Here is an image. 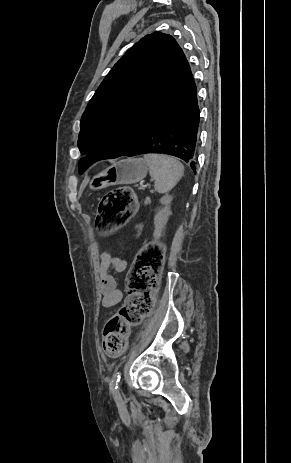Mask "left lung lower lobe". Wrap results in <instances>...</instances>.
<instances>
[{
  "instance_id": "obj_1",
  "label": "left lung lower lobe",
  "mask_w": 291,
  "mask_h": 463,
  "mask_svg": "<svg viewBox=\"0 0 291 463\" xmlns=\"http://www.w3.org/2000/svg\"><path fill=\"white\" fill-rule=\"evenodd\" d=\"M199 122L197 88L193 79L140 141L121 156L150 153L172 155L187 162L195 171Z\"/></svg>"
}]
</instances>
